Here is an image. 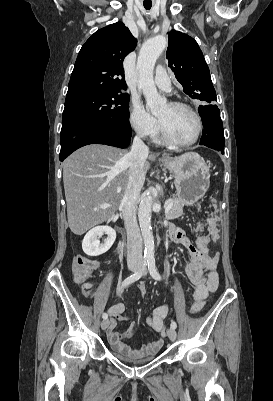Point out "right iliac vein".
Instances as JSON below:
<instances>
[{
    "label": "right iliac vein",
    "instance_id": "right-iliac-vein-1",
    "mask_svg": "<svg viewBox=\"0 0 273 401\" xmlns=\"http://www.w3.org/2000/svg\"><path fill=\"white\" fill-rule=\"evenodd\" d=\"M138 268H139V266H138L137 264H132V265L129 266V270H130V271H133V272L137 271ZM109 323H110V320H109V319H104V320L102 321V323H101V328H102L103 330H105V329L109 326Z\"/></svg>",
    "mask_w": 273,
    "mask_h": 401
}]
</instances>
